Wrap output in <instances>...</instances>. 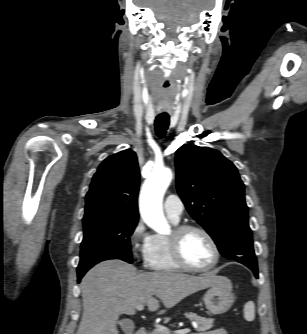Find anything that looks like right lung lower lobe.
Returning <instances> with one entry per match:
<instances>
[{
  "instance_id": "98d812e1",
  "label": "right lung lower lobe",
  "mask_w": 307,
  "mask_h": 334,
  "mask_svg": "<svg viewBox=\"0 0 307 334\" xmlns=\"http://www.w3.org/2000/svg\"><path fill=\"white\" fill-rule=\"evenodd\" d=\"M84 274H78V281L81 280V278L83 277Z\"/></svg>"
}]
</instances>
